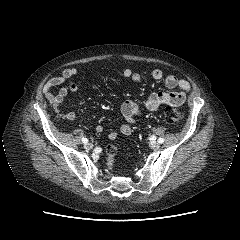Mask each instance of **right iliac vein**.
Segmentation results:
<instances>
[{
  "instance_id": "obj_1",
  "label": "right iliac vein",
  "mask_w": 240,
  "mask_h": 240,
  "mask_svg": "<svg viewBox=\"0 0 240 240\" xmlns=\"http://www.w3.org/2000/svg\"><path fill=\"white\" fill-rule=\"evenodd\" d=\"M84 148L87 149V150H91L93 148V144L92 143H86L84 145Z\"/></svg>"
}]
</instances>
